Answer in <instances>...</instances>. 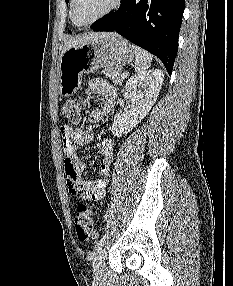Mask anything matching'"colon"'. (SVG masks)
<instances>
[{"label": "colon", "mask_w": 233, "mask_h": 286, "mask_svg": "<svg viewBox=\"0 0 233 286\" xmlns=\"http://www.w3.org/2000/svg\"><path fill=\"white\" fill-rule=\"evenodd\" d=\"M84 109L85 101L83 98H72L63 104L62 114L71 123L77 124L82 119ZM75 230L78 239L83 242L90 241L96 236L93 226V212L86 204H79L77 206Z\"/></svg>", "instance_id": "colon-1"}]
</instances>
